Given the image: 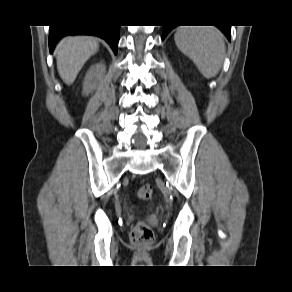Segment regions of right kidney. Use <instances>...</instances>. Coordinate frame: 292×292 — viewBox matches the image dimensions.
I'll return each mask as SVG.
<instances>
[{
  "mask_svg": "<svg viewBox=\"0 0 292 292\" xmlns=\"http://www.w3.org/2000/svg\"><path fill=\"white\" fill-rule=\"evenodd\" d=\"M105 71L106 67L103 63H97L89 68L83 82V94L88 95L97 87Z\"/></svg>",
  "mask_w": 292,
  "mask_h": 292,
  "instance_id": "ca27d5eb",
  "label": "right kidney"
}]
</instances>
